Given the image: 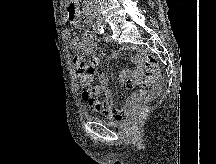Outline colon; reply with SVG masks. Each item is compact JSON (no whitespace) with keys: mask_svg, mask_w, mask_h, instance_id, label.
Returning <instances> with one entry per match:
<instances>
[{"mask_svg":"<svg viewBox=\"0 0 216 164\" xmlns=\"http://www.w3.org/2000/svg\"><path fill=\"white\" fill-rule=\"evenodd\" d=\"M144 67H145L146 74H145V77H144L143 81L141 82V84L145 87V86H148L150 83H152L153 80L155 79L156 67H157L156 58L152 55H147L145 58ZM79 70L80 71H87L89 74L94 73V68L92 66H90L89 64H85L84 62L80 63ZM136 83H137V81H135L133 79H128L127 81L124 82V86L127 88H131ZM146 113H147V110L142 109L139 112L140 118H143L146 115Z\"/></svg>","mask_w":216,"mask_h":164,"instance_id":"colon-1","label":"colon"}]
</instances>
